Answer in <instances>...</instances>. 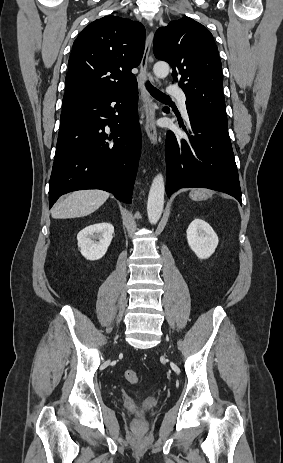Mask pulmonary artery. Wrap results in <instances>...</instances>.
<instances>
[{
    "instance_id": "obj_1",
    "label": "pulmonary artery",
    "mask_w": 283,
    "mask_h": 463,
    "mask_svg": "<svg viewBox=\"0 0 283 463\" xmlns=\"http://www.w3.org/2000/svg\"><path fill=\"white\" fill-rule=\"evenodd\" d=\"M167 91H168L169 95L175 97L179 101L181 110H182L184 116L187 117L186 95H185V93L181 89L176 88L174 86L169 87Z\"/></svg>"
}]
</instances>
